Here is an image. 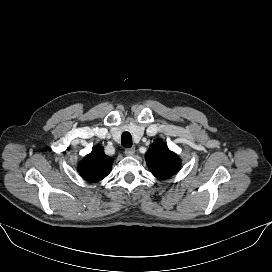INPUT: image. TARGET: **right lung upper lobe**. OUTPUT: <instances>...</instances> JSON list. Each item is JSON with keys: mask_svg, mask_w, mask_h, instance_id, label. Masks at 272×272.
<instances>
[{"mask_svg": "<svg viewBox=\"0 0 272 272\" xmlns=\"http://www.w3.org/2000/svg\"><path fill=\"white\" fill-rule=\"evenodd\" d=\"M113 159L105 155L101 147H95L90 154L79 163L80 175L91 182L104 179L111 171Z\"/></svg>", "mask_w": 272, "mask_h": 272, "instance_id": "right-lung-upper-lobe-1", "label": "right lung upper lobe"}]
</instances>
